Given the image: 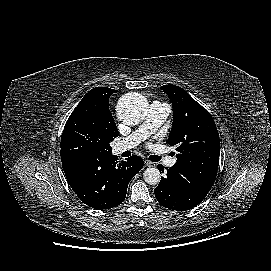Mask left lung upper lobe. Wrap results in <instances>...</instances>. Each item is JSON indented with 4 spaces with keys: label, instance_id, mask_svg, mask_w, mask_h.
Instances as JSON below:
<instances>
[{
    "label": "left lung upper lobe",
    "instance_id": "left-lung-upper-lobe-1",
    "mask_svg": "<svg viewBox=\"0 0 271 271\" xmlns=\"http://www.w3.org/2000/svg\"><path fill=\"white\" fill-rule=\"evenodd\" d=\"M161 88L173 106L167 143L178 152L175 165L212 186L220 154L219 134L212 116L181 87L169 84Z\"/></svg>",
    "mask_w": 271,
    "mask_h": 271
}]
</instances>
